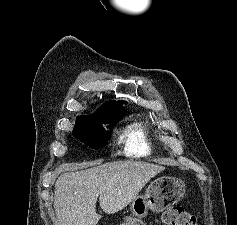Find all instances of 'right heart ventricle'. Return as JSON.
Masks as SVG:
<instances>
[{"label": "right heart ventricle", "instance_id": "e07e8e85", "mask_svg": "<svg viewBox=\"0 0 237 225\" xmlns=\"http://www.w3.org/2000/svg\"><path fill=\"white\" fill-rule=\"evenodd\" d=\"M125 153L132 156H144L150 153L151 146L144 126L137 125L124 135Z\"/></svg>", "mask_w": 237, "mask_h": 225}]
</instances>
